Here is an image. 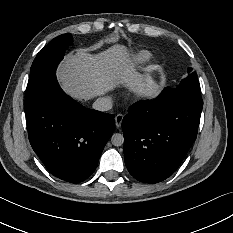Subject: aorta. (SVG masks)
I'll use <instances>...</instances> for the list:
<instances>
[{"label":"aorta","mask_w":233,"mask_h":233,"mask_svg":"<svg viewBox=\"0 0 233 233\" xmlns=\"http://www.w3.org/2000/svg\"><path fill=\"white\" fill-rule=\"evenodd\" d=\"M111 143L114 146H121L124 143V137L120 133H115L111 137Z\"/></svg>","instance_id":"aorta-1"}]
</instances>
